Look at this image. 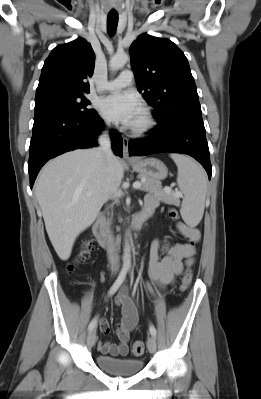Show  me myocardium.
<instances>
[{
  "instance_id": "obj_1",
  "label": "myocardium",
  "mask_w": 261,
  "mask_h": 399,
  "mask_svg": "<svg viewBox=\"0 0 261 399\" xmlns=\"http://www.w3.org/2000/svg\"><path fill=\"white\" fill-rule=\"evenodd\" d=\"M156 122L149 110L145 109L141 116L140 123L133 125L131 132L135 135H143L151 131Z\"/></svg>"
}]
</instances>
